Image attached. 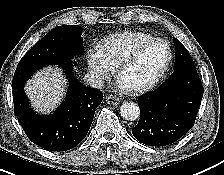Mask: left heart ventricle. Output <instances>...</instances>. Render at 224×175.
<instances>
[{
    "label": "left heart ventricle",
    "mask_w": 224,
    "mask_h": 175,
    "mask_svg": "<svg viewBox=\"0 0 224 175\" xmlns=\"http://www.w3.org/2000/svg\"><path fill=\"white\" fill-rule=\"evenodd\" d=\"M168 52L162 43L147 48L138 60L126 69L120 77V83L125 88H131L146 83L153 78L163 66Z\"/></svg>",
    "instance_id": "obj_1"
}]
</instances>
